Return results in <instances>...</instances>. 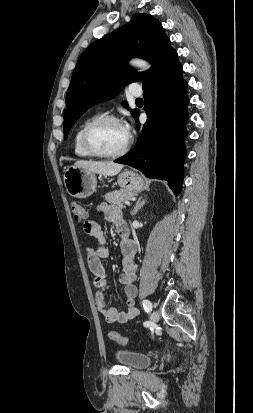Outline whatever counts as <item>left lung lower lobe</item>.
Listing matches in <instances>:
<instances>
[{"instance_id":"left-lung-lower-lobe-1","label":"left lung lower lobe","mask_w":253,"mask_h":413,"mask_svg":"<svg viewBox=\"0 0 253 413\" xmlns=\"http://www.w3.org/2000/svg\"><path fill=\"white\" fill-rule=\"evenodd\" d=\"M183 68L174 50L157 74L143 84L147 121L132 151L114 162L140 170L146 177L166 180L177 196L181 192L187 137L188 98ZM138 112L136 121L138 127Z\"/></svg>"}]
</instances>
